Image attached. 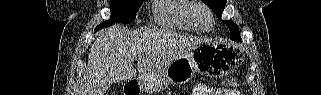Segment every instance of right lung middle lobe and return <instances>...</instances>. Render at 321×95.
I'll return each mask as SVG.
<instances>
[{
	"label": "right lung middle lobe",
	"mask_w": 321,
	"mask_h": 95,
	"mask_svg": "<svg viewBox=\"0 0 321 95\" xmlns=\"http://www.w3.org/2000/svg\"><path fill=\"white\" fill-rule=\"evenodd\" d=\"M143 0H111V17L109 20L101 23L95 29L108 27L114 23H131L136 18V12L139 10Z\"/></svg>",
	"instance_id": "1"
}]
</instances>
